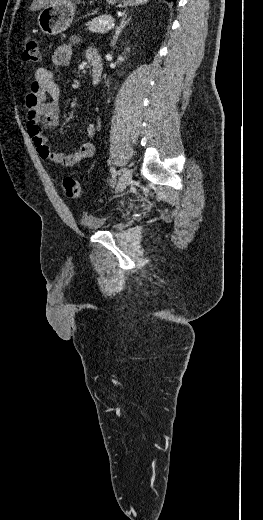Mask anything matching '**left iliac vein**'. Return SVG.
I'll return each instance as SVG.
<instances>
[{
    "instance_id": "left-iliac-vein-1",
    "label": "left iliac vein",
    "mask_w": 263,
    "mask_h": 520,
    "mask_svg": "<svg viewBox=\"0 0 263 520\" xmlns=\"http://www.w3.org/2000/svg\"><path fill=\"white\" fill-rule=\"evenodd\" d=\"M132 180V170L124 168L116 186V192L123 191Z\"/></svg>"
}]
</instances>
